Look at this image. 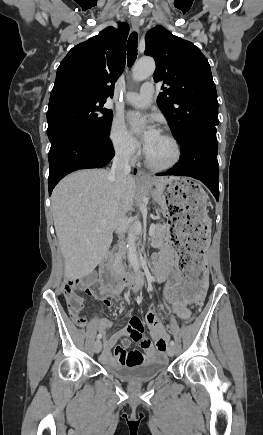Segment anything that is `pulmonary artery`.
Here are the masks:
<instances>
[{
	"label": "pulmonary artery",
	"mask_w": 263,
	"mask_h": 435,
	"mask_svg": "<svg viewBox=\"0 0 263 435\" xmlns=\"http://www.w3.org/2000/svg\"><path fill=\"white\" fill-rule=\"evenodd\" d=\"M153 94V84L144 83L139 92H131L127 94L126 101L137 108H147L151 104Z\"/></svg>",
	"instance_id": "1"
}]
</instances>
